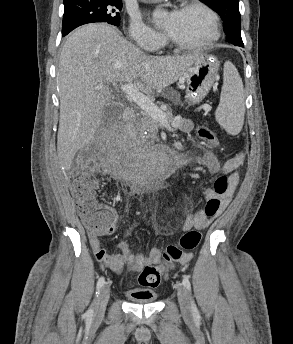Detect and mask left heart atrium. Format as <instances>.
Masks as SVG:
<instances>
[{"label":"left heart atrium","instance_id":"left-heart-atrium-1","mask_svg":"<svg viewBox=\"0 0 293 344\" xmlns=\"http://www.w3.org/2000/svg\"><path fill=\"white\" fill-rule=\"evenodd\" d=\"M173 15H174V13H171L168 16V19L164 23V29H165L166 32L170 29V26H171V23H172V19H173Z\"/></svg>","mask_w":293,"mask_h":344}]
</instances>
